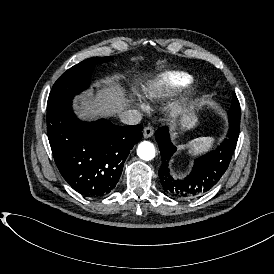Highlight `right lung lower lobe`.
<instances>
[{
    "label": "right lung lower lobe",
    "mask_w": 274,
    "mask_h": 274,
    "mask_svg": "<svg viewBox=\"0 0 274 274\" xmlns=\"http://www.w3.org/2000/svg\"><path fill=\"white\" fill-rule=\"evenodd\" d=\"M142 129V125L116 126L106 119L80 121L72 101L47 112V134L57 168L84 197L100 198L114 190Z\"/></svg>",
    "instance_id": "obj_1"
}]
</instances>
